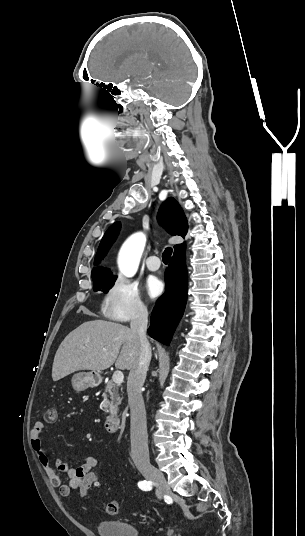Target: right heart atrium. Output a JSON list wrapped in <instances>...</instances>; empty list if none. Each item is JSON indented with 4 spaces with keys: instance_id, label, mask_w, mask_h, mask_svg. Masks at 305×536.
Returning <instances> with one entry per match:
<instances>
[{
    "instance_id": "obj_1",
    "label": "right heart atrium",
    "mask_w": 305,
    "mask_h": 536,
    "mask_svg": "<svg viewBox=\"0 0 305 536\" xmlns=\"http://www.w3.org/2000/svg\"><path fill=\"white\" fill-rule=\"evenodd\" d=\"M102 307L106 317L120 323L145 317L148 313L138 285L122 276L113 278L104 294Z\"/></svg>"
}]
</instances>
